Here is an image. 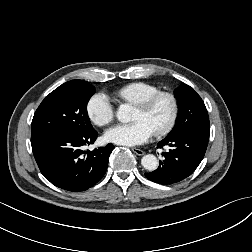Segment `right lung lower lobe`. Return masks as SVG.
Here are the masks:
<instances>
[{
  "instance_id": "98d812e1",
  "label": "right lung lower lobe",
  "mask_w": 252,
  "mask_h": 252,
  "mask_svg": "<svg viewBox=\"0 0 252 252\" xmlns=\"http://www.w3.org/2000/svg\"><path fill=\"white\" fill-rule=\"evenodd\" d=\"M96 130L87 133H35L31 145L35 160L44 177L67 191L80 192L95 185L105 174L112 144L93 151H83L93 144Z\"/></svg>"
}]
</instances>
